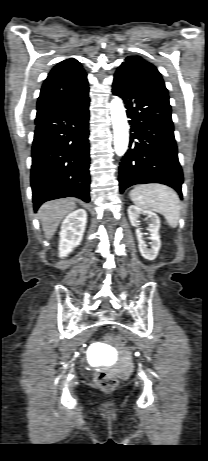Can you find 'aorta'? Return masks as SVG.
Listing matches in <instances>:
<instances>
[{
	"mask_svg": "<svg viewBox=\"0 0 208 461\" xmlns=\"http://www.w3.org/2000/svg\"><path fill=\"white\" fill-rule=\"evenodd\" d=\"M110 110L114 131V150L118 156H123L129 144V126L123 102L119 97L112 99Z\"/></svg>",
	"mask_w": 208,
	"mask_h": 461,
	"instance_id": "aorta-1",
	"label": "aorta"
}]
</instances>
